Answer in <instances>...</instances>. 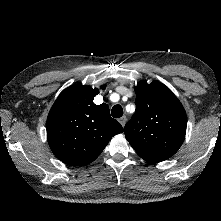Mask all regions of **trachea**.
I'll return each instance as SVG.
<instances>
[{"instance_id":"3493384b","label":"trachea","mask_w":221,"mask_h":221,"mask_svg":"<svg viewBox=\"0 0 221 221\" xmlns=\"http://www.w3.org/2000/svg\"><path fill=\"white\" fill-rule=\"evenodd\" d=\"M111 114H112V117H114V118H120L123 115L122 106L119 105V104L114 105L112 110H111Z\"/></svg>"}]
</instances>
